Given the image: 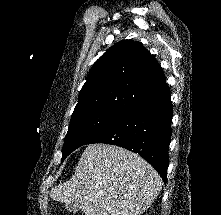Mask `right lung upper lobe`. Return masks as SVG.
Returning <instances> with one entry per match:
<instances>
[{
  "instance_id": "obj_1",
  "label": "right lung upper lobe",
  "mask_w": 221,
  "mask_h": 215,
  "mask_svg": "<svg viewBox=\"0 0 221 215\" xmlns=\"http://www.w3.org/2000/svg\"><path fill=\"white\" fill-rule=\"evenodd\" d=\"M166 86L159 63L133 40L114 44L92 66L74 112L124 115Z\"/></svg>"
}]
</instances>
